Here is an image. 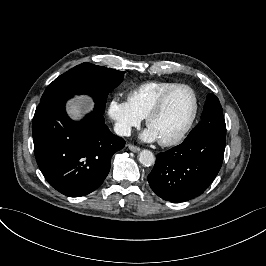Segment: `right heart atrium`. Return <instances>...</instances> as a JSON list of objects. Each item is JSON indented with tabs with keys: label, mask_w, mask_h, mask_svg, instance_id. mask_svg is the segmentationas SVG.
Here are the masks:
<instances>
[{
	"label": "right heart atrium",
	"mask_w": 266,
	"mask_h": 266,
	"mask_svg": "<svg viewBox=\"0 0 266 266\" xmlns=\"http://www.w3.org/2000/svg\"><path fill=\"white\" fill-rule=\"evenodd\" d=\"M108 115L120 134L126 135L138 126L142 117L135 111L129 100L113 96L108 101Z\"/></svg>",
	"instance_id": "right-heart-atrium-1"
}]
</instances>
